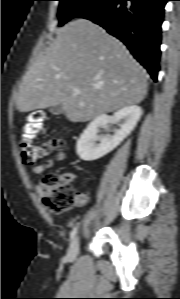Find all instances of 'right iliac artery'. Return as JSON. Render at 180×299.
Listing matches in <instances>:
<instances>
[{
	"label": "right iliac artery",
	"mask_w": 180,
	"mask_h": 299,
	"mask_svg": "<svg viewBox=\"0 0 180 299\" xmlns=\"http://www.w3.org/2000/svg\"><path fill=\"white\" fill-rule=\"evenodd\" d=\"M76 233H77V226H75L70 233L71 240L75 237Z\"/></svg>",
	"instance_id": "1"
}]
</instances>
